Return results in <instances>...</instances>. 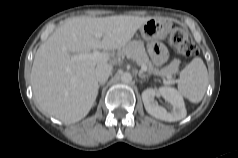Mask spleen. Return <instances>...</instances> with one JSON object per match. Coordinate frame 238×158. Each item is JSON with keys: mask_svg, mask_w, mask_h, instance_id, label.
<instances>
[{"mask_svg": "<svg viewBox=\"0 0 238 158\" xmlns=\"http://www.w3.org/2000/svg\"><path fill=\"white\" fill-rule=\"evenodd\" d=\"M208 72L200 57L194 58L181 72L178 92L193 103H199L206 92Z\"/></svg>", "mask_w": 238, "mask_h": 158, "instance_id": "3e777b00", "label": "spleen"}]
</instances>
